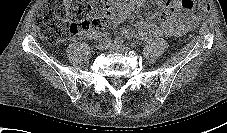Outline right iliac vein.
I'll return each mask as SVG.
<instances>
[{
  "mask_svg": "<svg viewBox=\"0 0 227 133\" xmlns=\"http://www.w3.org/2000/svg\"><path fill=\"white\" fill-rule=\"evenodd\" d=\"M109 44H107L105 41H99L98 44L96 45V48L100 51H103L107 49Z\"/></svg>",
  "mask_w": 227,
  "mask_h": 133,
  "instance_id": "right-iliac-vein-1",
  "label": "right iliac vein"
}]
</instances>
